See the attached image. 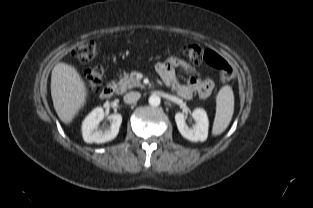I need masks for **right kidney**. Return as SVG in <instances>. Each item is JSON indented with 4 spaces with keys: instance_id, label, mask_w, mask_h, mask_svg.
Segmentation results:
<instances>
[{
    "instance_id": "obj_1",
    "label": "right kidney",
    "mask_w": 313,
    "mask_h": 208,
    "mask_svg": "<svg viewBox=\"0 0 313 208\" xmlns=\"http://www.w3.org/2000/svg\"><path fill=\"white\" fill-rule=\"evenodd\" d=\"M104 119V110L101 107L95 108L82 123V136L87 143H105L113 140L122 123L120 114H112L108 117L111 125L108 128L99 129V123Z\"/></svg>"
}]
</instances>
